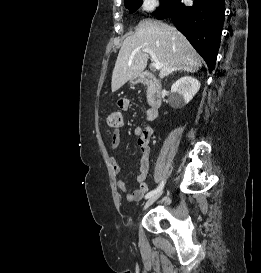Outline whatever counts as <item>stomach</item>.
Segmentation results:
<instances>
[{
  "label": "stomach",
  "instance_id": "obj_1",
  "mask_svg": "<svg viewBox=\"0 0 261 273\" xmlns=\"http://www.w3.org/2000/svg\"><path fill=\"white\" fill-rule=\"evenodd\" d=\"M133 83H138L141 81L140 77H136L133 80H131Z\"/></svg>",
  "mask_w": 261,
  "mask_h": 273
}]
</instances>
